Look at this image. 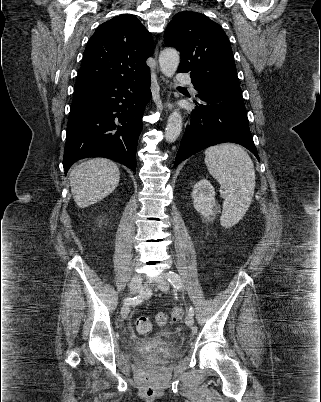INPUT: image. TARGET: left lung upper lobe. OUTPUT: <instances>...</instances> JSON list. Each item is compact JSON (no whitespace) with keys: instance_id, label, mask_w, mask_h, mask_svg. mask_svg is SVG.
I'll list each match as a JSON object with an SVG mask.
<instances>
[{"instance_id":"obj_1","label":"left lung upper lobe","mask_w":321,"mask_h":402,"mask_svg":"<svg viewBox=\"0 0 321 402\" xmlns=\"http://www.w3.org/2000/svg\"><path fill=\"white\" fill-rule=\"evenodd\" d=\"M167 46L180 52V73H190L196 90L211 86H239L229 39L220 25L203 14L177 13L164 33Z\"/></svg>"}]
</instances>
